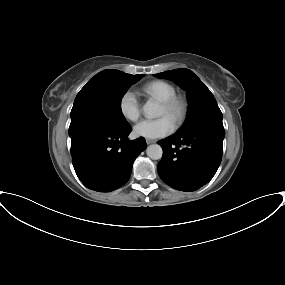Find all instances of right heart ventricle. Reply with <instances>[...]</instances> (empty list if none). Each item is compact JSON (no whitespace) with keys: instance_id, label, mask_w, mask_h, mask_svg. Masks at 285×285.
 <instances>
[{"instance_id":"obj_1","label":"right heart ventricle","mask_w":285,"mask_h":285,"mask_svg":"<svg viewBox=\"0 0 285 285\" xmlns=\"http://www.w3.org/2000/svg\"><path fill=\"white\" fill-rule=\"evenodd\" d=\"M141 91L159 101H164L174 96L177 92L176 87L166 80H153L141 87Z\"/></svg>"}]
</instances>
